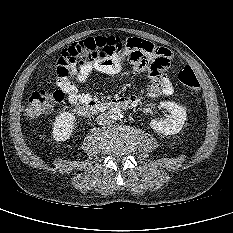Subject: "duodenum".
<instances>
[{
	"label": "duodenum",
	"instance_id": "410a0bca",
	"mask_svg": "<svg viewBox=\"0 0 233 233\" xmlns=\"http://www.w3.org/2000/svg\"><path fill=\"white\" fill-rule=\"evenodd\" d=\"M138 98L136 96L117 97L110 101H91L82 103L76 106L75 111L79 116L92 117L98 113L105 112L110 109H131L138 105Z\"/></svg>",
	"mask_w": 233,
	"mask_h": 233
}]
</instances>
